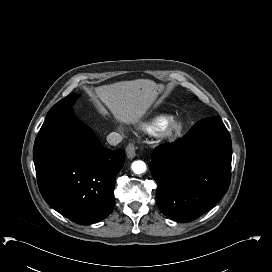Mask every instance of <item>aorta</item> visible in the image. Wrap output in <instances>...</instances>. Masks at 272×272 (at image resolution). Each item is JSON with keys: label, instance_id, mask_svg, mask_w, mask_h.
<instances>
[{"label": "aorta", "instance_id": "obj_1", "mask_svg": "<svg viewBox=\"0 0 272 272\" xmlns=\"http://www.w3.org/2000/svg\"><path fill=\"white\" fill-rule=\"evenodd\" d=\"M131 168L135 174H142L147 169L146 164L141 160L134 161L131 165Z\"/></svg>", "mask_w": 272, "mask_h": 272}]
</instances>
